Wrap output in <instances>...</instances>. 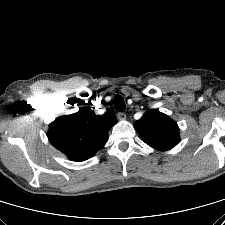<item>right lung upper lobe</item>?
I'll return each mask as SVG.
<instances>
[{
  "label": "right lung upper lobe",
  "mask_w": 225,
  "mask_h": 225,
  "mask_svg": "<svg viewBox=\"0 0 225 225\" xmlns=\"http://www.w3.org/2000/svg\"><path fill=\"white\" fill-rule=\"evenodd\" d=\"M117 123L114 113L96 115L82 108L78 112L55 119L49 127L48 139L72 161L93 157L107 142L108 131Z\"/></svg>",
  "instance_id": "obj_1"
}]
</instances>
